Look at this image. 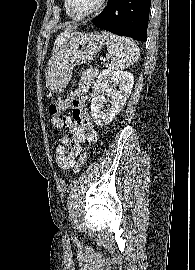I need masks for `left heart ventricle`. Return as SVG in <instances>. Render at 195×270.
<instances>
[{
  "label": "left heart ventricle",
  "instance_id": "b2bd125f",
  "mask_svg": "<svg viewBox=\"0 0 195 270\" xmlns=\"http://www.w3.org/2000/svg\"><path fill=\"white\" fill-rule=\"evenodd\" d=\"M99 0H70L73 11L77 14H86L93 10Z\"/></svg>",
  "mask_w": 195,
  "mask_h": 270
}]
</instances>
